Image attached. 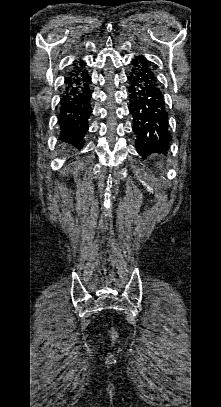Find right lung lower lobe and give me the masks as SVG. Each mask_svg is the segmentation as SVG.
Returning <instances> with one entry per match:
<instances>
[{
  "label": "right lung lower lobe",
  "instance_id": "right-lung-lower-lobe-1",
  "mask_svg": "<svg viewBox=\"0 0 221 407\" xmlns=\"http://www.w3.org/2000/svg\"><path fill=\"white\" fill-rule=\"evenodd\" d=\"M85 66L82 60L73 63L65 78L58 116L61 139L78 147L84 144L83 138L88 131V119L92 112L91 77Z\"/></svg>",
  "mask_w": 221,
  "mask_h": 407
}]
</instances>
